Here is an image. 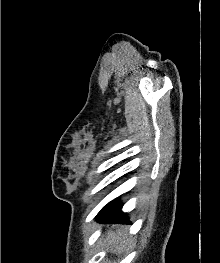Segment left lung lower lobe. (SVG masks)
Listing matches in <instances>:
<instances>
[{
	"label": "left lung lower lobe",
	"mask_w": 220,
	"mask_h": 263,
	"mask_svg": "<svg viewBox=\"0 0 220 263\" xmlns=\"http://www.w3.org/2000/svg\"><path fill=\"white\" fill-rule=\"evenodd\" d=\"M100 223H127V214L121 212V206L116 200L108 203L97 215Z\"/></svg>",
	"instance_id": "left-lung-lower-lobe-1"
}]
</instances>
